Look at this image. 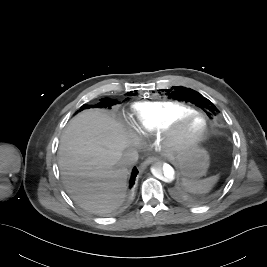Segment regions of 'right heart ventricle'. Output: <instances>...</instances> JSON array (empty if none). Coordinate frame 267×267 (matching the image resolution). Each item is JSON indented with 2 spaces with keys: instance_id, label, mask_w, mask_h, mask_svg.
I'll use <instances>...</instances> for the list:
<instances>
[{
  "instance_id": "1",
  "label": "right heart ventricle",
  "mask_w": 267,
  "mask_h": 267,
  "mask_svg": "<svg viewBox=\"0 0 267 267\" xmlns=\"http://www.w3.org/2000/svg\"><path fill=\"white\" fill-rule=\"evenodd\" d=\"M194 111L192 106L179 101H145L133 104L130 115L140 133L153 135L166 123Z\"/></svg>"
}]
</instances>
